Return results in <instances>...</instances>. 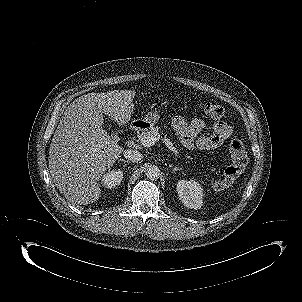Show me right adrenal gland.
<instances>
[{
	"instance_id": "2a0ac1e0",
	"label": "right adrenal gland",
	"mask_w": 302,
	"mask_h": 302,
	"mask_svg": "<svg viewBox=\"0 0 302 302\" xmlns=\"http://www.w3.org/2000/svg\"><path fill=\"white\" fill-rule=\"evenodd\" d=\"M120 161H122V162H124L126 164L130 163L128 160H124V159H120Z\"/></svg>"
}]
</instances>
